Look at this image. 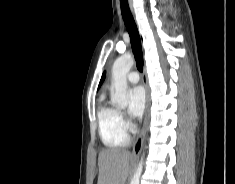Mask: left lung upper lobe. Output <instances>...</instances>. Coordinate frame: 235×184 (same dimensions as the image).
Wrapping results in <instances>:
<instances>
[{
	"mask_svg": "<svg viewBox=\"0 0 235 184\" xmlns=\"http://www.w3.org/2000/svg\"><path fill=\"white\" fill-rule=\"evenodd\" d=\"M105 75L106 73L104 72L103 75H102V78L100 80V83H99V87L101 86V84L103 83L104 79H105Z\"/></svg>",
	"mask_w": 235,
	"mask_h": 184,
	"instance_id": "obj_1",
	"label": "left lung upper lobe"
}]
</instances>
